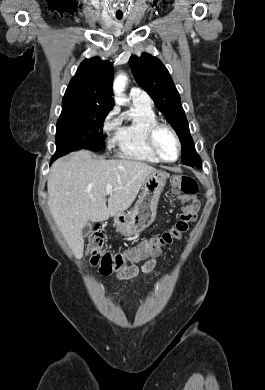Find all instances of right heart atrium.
Segmentation results:
<instances>
[{
	"label": "right heart atrium",
	"mask_w": 265,
	"mask_h": 390,
	"mask_svg": "<svg viewBox=\"0 0 265 390\" xmlns=\"http://www.w3.org/2000/svg\"><path fill=\"white\" fill-rule=\"evenodd\" d=\"M119 119L117 118V109H111L104 117L102 121V132L105 136H110L115 130L118 129Z\"/></svg>",
	"instance_id": "obj_1"
}]
</instances>
